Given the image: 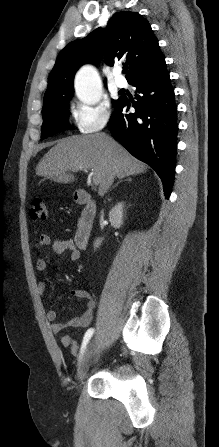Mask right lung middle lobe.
Here are the masks:
<instances>
[{"label": "right lung middle lobe", "mask_w": 219, "mask_h": 447, "mask_svg": "<svg viewBox=\"0 0 219 447\" xmlns=\"http://www.w3.org/2000/svg\"><path fill=\"white\" fill-rule=\"evenodd\" d=\"M72 95H59L44 99L42 116L43 124L41 127V138L45 139L56 132L70 129L67 123L68 105ZM119 100V99H118ZM118 100H113V106Z\"/></svg>", "instance_id": "right-lung-middle-lobe-1"}]
</instances>
